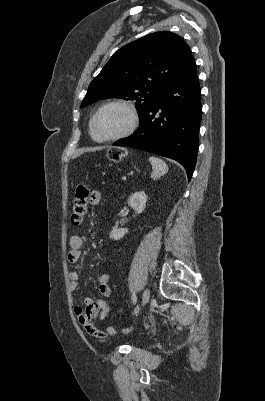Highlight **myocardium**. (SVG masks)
Returning a JSON list of instances; mask_svg holds the SVG:
<instances>
[{"instance_id":"f54148a6","label":"myocardium","mask_w":265,"mask_h":401,"mask_svg":"<svg viewBox=\"0 0 265 401\" xmlns=\"http://www.w3.org/2000/svg\"><path fill=\"white\" fill-rule=\"evenodd\" d=\"M109 107H121V108L125 109L128 114L127 123L118 134L111 136V137H107V138H97V137H95V135L93 133L94 123H95L97 117L101 114V112H103L105 109H107ZM137 120H138V115H137L136 109L133 106V104H131L128 101H123V100L109 101V102L103 104L101 107H99L98 110L91 117L90 122H89V134H90V137L96 142L115 141V140H118V139L124 137L129 132H131L135 128V126L137 124Z\"/></svg>"}]
</instances>
